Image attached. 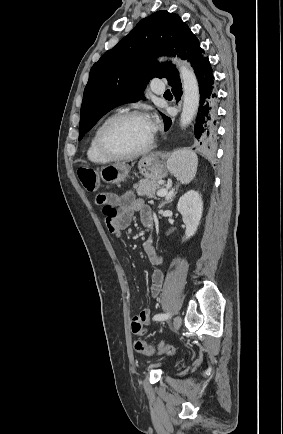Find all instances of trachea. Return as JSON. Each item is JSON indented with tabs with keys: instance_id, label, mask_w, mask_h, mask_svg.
<instances>
[{
	"instance_id": "1",
	"label": "trachea",
	"mask_w": 283,
	"mask_h": 434,
	"mask_svg": "<svg viewBox=\"0 0 283 434\" xmlns=\"http://www.w3.org/2000/svg\"><path fill=\"white\" fill-rule=\"evenodd\" d=\"M165 95L171 94L170 90H167L165 93Z\"/></svg>"
}]
</instances>
